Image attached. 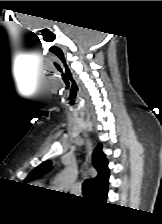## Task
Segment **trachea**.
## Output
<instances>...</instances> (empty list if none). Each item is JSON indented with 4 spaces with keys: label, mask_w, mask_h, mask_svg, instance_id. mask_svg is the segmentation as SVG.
Wrapping results in <instances>:
<instances>
[{
    "label": "trachea",
    "mask_w": 162,
    "mask_h": 224,
    "mask_svg": "<svg viewBox=\"0 0 162 224\" xmlns=\"http://www.w3.org/2000/svg\"><path fill=\"white\" fill-rule=\"evenodd\" d=\"M89 186H90V182L88 180H85L82 186L83 193L85 194L88 193Z\"/></svg>",
    "instance_id": "obj_1"
}]
</instances>
